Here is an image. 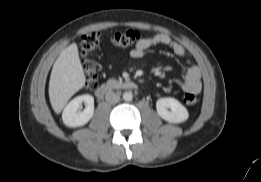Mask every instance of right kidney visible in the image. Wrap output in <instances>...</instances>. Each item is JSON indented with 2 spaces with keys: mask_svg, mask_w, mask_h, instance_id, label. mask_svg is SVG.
Listing matches in <instances>:
<instances>
[{
  "mask_svg": "<svg viewBox=\"0 0 261 182\" xmlns=\"http://www.w3.org/2000/svg\"><path fill=\"white\" fill-rule=\"evenodd\" d=\"M85 103V109L80 110L81 104ZM94 98L91 95H80L71 100L63 110L62 120L68 127L83 126L93 117Z\"/></svg>",
  "mask_w": 261,
  "mask_h": 182,
  "instance_id": "ca27d5eb",
  "label": "right kidney"
}]
</instances>
